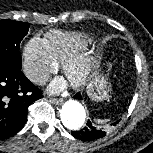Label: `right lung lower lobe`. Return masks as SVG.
Segmentation results:
<instances>
[{"mask_svg": "<svg viewBox=\"0 0 153 153\" xmlns=\"http://www.w3.org/2000/svg\"><path fill=\"white\" fill-rule=\"evenodd\" d=\"M42 97V92L26 78L21 67L0 62V140L24 126L29 105Z\"/></svg>", "mask_w": 153, "mask_h": 153, "instance_id": "right-lung-lower-lobe-1", "label": "right lung lower lobe"}]
</instances>
